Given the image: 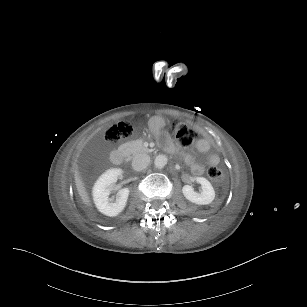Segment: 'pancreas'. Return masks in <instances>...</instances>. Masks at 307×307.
I'll use <instances>...</instances> for the list:
<instances>
[{
	"instance_id": "1",
	"label": "pancreas",
	"mask_w": 307,
	"mask_h": 307,
	"mask_svg": "<svg viewBox=\"0 0 307 307\" xmlns=\"http://www.w3.org/2000/svg\"><path fill=\"white\" fill-rule=\"evenodd\" d=\"M140 152H147V149L143 147L142 143L140 145Z\"/></svg>"
}]
</instances>
